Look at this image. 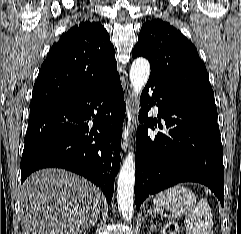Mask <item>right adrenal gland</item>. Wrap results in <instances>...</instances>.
Here are the masks:
<instances>
[{"label":"right adrenal gland","mask_w":241,"mask_h":234,"mask_svg":"<svg viewBox=\"0 0 241 234\" xmlns=\"http://www.w3.org/2000/svg\"><path fill=\"white\" fill-rule=\"evenodd\" d=\"M100 215V211L98 214L95 216L94 221L92 222V226L95 227V224L97 223L98 216Z\"/></svg>","instance_id":"right-adrenal-gland-1"}]
</instances>
